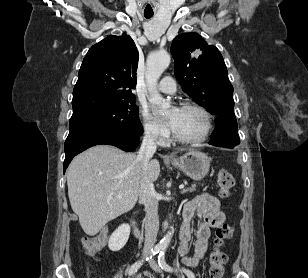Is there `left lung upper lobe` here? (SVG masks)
Masks as SVG:
<instances>
[{
    "label": "left lung upper lobe",
    "mask_w": 308,
    "mask_h": 278,
    "mask_svg": "<svg viewBox=\"0 0 308 278\" xmlns=\"http://www.w3.org/2000/svg\"><path fill=\"white\" fill-rule=\"evenodd\" d=\"M175 76L183 91L212 114L233 112V86L219 50L197 33H183L171 44Z\"/></svg>",
    "instance_id": "5c2ea615"
}]
</instances>
